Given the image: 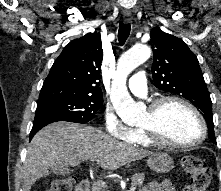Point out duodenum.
Returning a JSON list of instances; mask_svg holds the SVG:
<instances>
[{
	"label": "duodenum",
	"mask_w": 221,
	"mask_h": 191,
	"mask_svg": "<svg viewBox=\"0 0 221 191\" xmlns=\"http://www.w3.org/2000/svg\"><path fill=\"white\" fill-rule=\"evenodd\" d=\"M91 181L89 178L82 179L76 186V191H90Z\"/></svg>",
	"instance_id": "obj_1"
}]
</instances>
